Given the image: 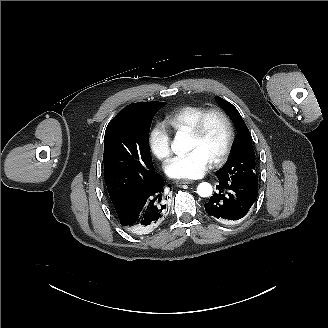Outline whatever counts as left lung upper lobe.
Wrapping results in <instances>:
<instances>
[{
	"instance_id": "obj_1",
	"label": "left lung upper lobe",
	"mask_w": 328,
	"mask_h": 328,
	"mask_svg": "<svg viewBox=\"0 0 328 328\" xmlns=\"http://www.w3.org/2000/svg\"><path fill=\"white\" fill-rule=\"evenodd\" d=\"M216 99L239 130V135L231 149L226 164L217 173L227 178L249 179L257 182L258 177L251 134L238 110L228 101L220 97Z\"/></svg>"
}]
</instances>
